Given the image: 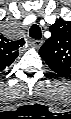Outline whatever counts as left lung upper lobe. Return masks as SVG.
Returning <instances> with one entry per match:
<instances>
[{"label": "left lung upper lobe", "mask_w": 71, "mask_h": 119, "mask_svg": "<svg viewBox=\"0 0 71 119\" xmlns=\"http://www.w3.org/2000/svg\"><path fill=\"white\" fill-rule=\"evenodd\" d=\"M51 37L39 50L47 65L60 76L71 75V21L57 19L50 27Z\"/></svg>", "instance_id": "1"}]
</instances>
